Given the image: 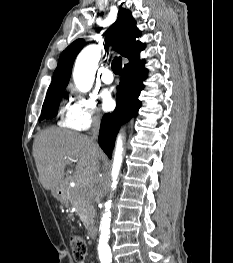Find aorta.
Returning a JSON list of instances; mask_svg holds the SVG:
<instances>
[{
  "label": "aorta",
  "mask_w": 233,
  "mask_h": 263,
  "mask_svg": "<svg viewBox=\"0 0 233 263\" xmlns=\"http://www.w3.org/2000/svg\"><path fill=\"white\" fill-rule=\"evenodd\" d=\"M99 59H100V48L97 45L87 46L78 55L73 71V78L76 87L80 91L87 92L92 87ZM122 153H123V142L121 136L119 135L116 142L113 168H112V176H113V182L111 185L112 190H114L117 185L116 179L122 164ZM109 189H110L109 187H106L104 189V192L108 193ZM111 204L112 201L110 199H108L105 202V213L103 214L100 223L98 251L101 259L111 258V250L108 245L109 234H110V222H111L110 219Z\"/></svg>",
  "instance_id": "obj_1"
}]
</instances>
